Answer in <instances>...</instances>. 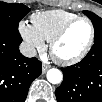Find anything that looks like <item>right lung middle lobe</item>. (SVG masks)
Segmentation results:
<instances>
[{"label": "right lung middle lobe", "mask_w": 102, "mask_h": 102, "mask_svg": "<svg viewBox=\"0 0 102 102\" xmlns=\"http://www.w3.org/2000/svg\"><path fill=\"white\" fill-rule=\"evenodd\" d=\"M30 11L28 7L18 3H0V31H18L19 21Z\"/></svg>", "instance_id": "right-lung-middle-lobe-1"}]
</instances>
